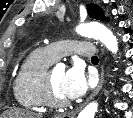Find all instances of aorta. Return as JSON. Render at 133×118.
<instances>
[{
    "instance_id": "1",
    "label": "aorta",
    "mask_w": 133,
    "mask_h": 118,
    "mask_svg": "<svg viewBox=\"0 0 133 118\" xmlns=\"http://www.w3.org/2000/svg\"><path fill=\"white\" fill-rule=\"evenodd\" d=\"M81 36L94 38L101 41L106 48L116 54L118 51V42L113 33L103 24L97 22H89L81 24L76 29ZM59 67V65H57ZM98 109L97 102L89 103L78 115L77 118H94Z\"/></svg>"
}]
</instances>
